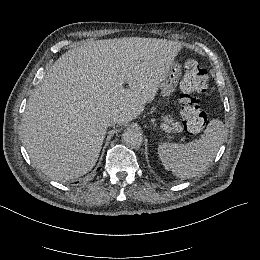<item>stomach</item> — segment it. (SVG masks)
<instances>
[{
	"instance_id": "1",
	"label": "stomach",
	"mask_w": 260,
	"mask_h": 260,
	"mask_svg": "<svg viewBox=\"0 0 260 260\" xmlns=\"http://www.w3.org/2000/svg\"><path fill=\"white\" fill-rule=\"evenodd\" d=\"M181 74L182 72L180 68H170L166 73L160 86V97L162 99L169 98L175 92Z\"/></svg>"
}]
</instances>
